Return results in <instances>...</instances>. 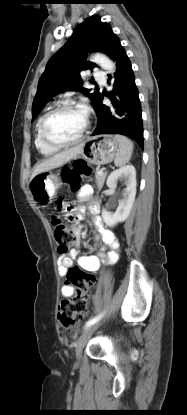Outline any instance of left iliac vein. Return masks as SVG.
Masks as SVG:
<instances>
[{
    "mask_svg": "<svg viewBox=\"0 0 187 415\" xmlns=\"http://www.w3.org/2000/svg\"><path fill=\"white\" fill-rule=\"evenodd\" d=\"M99 323H94L87 327L76 342V358L78 361L82 358V351L87 341L90 339L92 334L98 329Z\"/></svg>",
    "mask_w": 187,
    "mask_h": 415,
    "instance_id": "1",
    "label": "left iliac vein"
}]
</instances>
